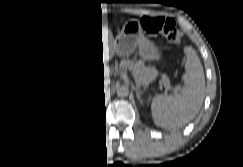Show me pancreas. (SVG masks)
Wrapping results in <instances>:
<instances>
[{"instance_id": "1", "label": "pancreas", "mask_w": 243, "mask_h": 167, "mask_svg": "<svg viewBox=\"0 0 243 167\" xmlns=\"http://www.w3.org/2000/svg\"><path fill=\"white\" fill-rule=\"evenodd\" d=\"M120 66L123 69H128L132 72L134 80L137 84L148 85L158 76V71L155 67H146L144 62L141 60L136 62L129 59L122 60ZM161 82L166 88H170V81L166 75L162 76Z\"/></svg>"}]
</instances>
